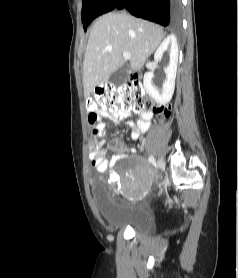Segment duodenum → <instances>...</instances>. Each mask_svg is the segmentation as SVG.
<instances>
[{"instance_id": "obj_1", "label": "duodenum", "mask_w": 238, "mask_h": 278, "mask_svg": "<svg viewBox=\"0 0 238 278\" xmlns=\"http://www.w3.org/2000/svg\"><path fill=\"white\" fill-rule=\"evenodd\" d=\"M136 77H137V75L133 74L131 78H132V80H134Z\"/></svg>"}]
</instances>
